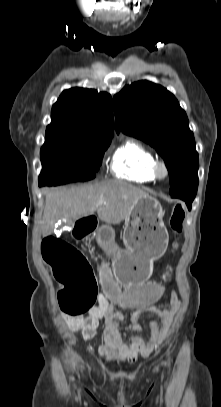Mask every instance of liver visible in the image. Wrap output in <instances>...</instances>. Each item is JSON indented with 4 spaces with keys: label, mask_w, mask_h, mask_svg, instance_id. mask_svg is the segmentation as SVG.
<instances>
[{
    "label": "liver",
    "mask_w": 221,
    "mask_h": 407,
    "mask_svg": "<svg viewBox=\"0 0 221 407\" xmlns=\"http://www.w3.org/2000/svg\"><path fill=\"white\" fill-rule=\"evenodd\" d=\"M147 195L143 190L122 181H105L93 185L58 188L46 193L42 235L51 234L58 220L76 221L93 215L108 224H120L138 198ZM104 203L99 205L98 202Z\"/></svg>",
    "instance_id": "liver-1"
}]
</instances>
